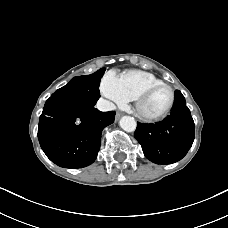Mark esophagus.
Returning a JSON list of instances; mask_svg holds the SVG:
<instances>
[{
  "label": "esophagus",
  "mask_w": 228,
  "mask_h": 228,
  "mask_svg": "<svg viewBox=\"0 0 228 228\" xmlns=\"http://www.w3.org/2000/svg\"><path fill=\"white\" fill-rule=\"evenodd\" d=\"M121 115H122V114H121L120 112H117V113H116V116H115L116 120H118V119L121 117Z\"/></svg>",
  "instance_id": "1"
}]
</instances>
